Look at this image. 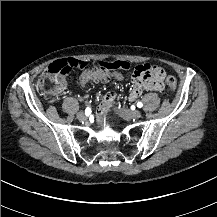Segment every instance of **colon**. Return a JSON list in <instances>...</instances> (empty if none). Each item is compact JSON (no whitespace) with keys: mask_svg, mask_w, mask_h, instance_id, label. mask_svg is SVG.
Wrapping results in <instances>:
<instances>
[{"mask_svg":"<svg viewBox=\"0 0 217 217\" xmlns=\"http://www.w3.org/2000/svg\"><path fill=\"white\" fill-rule=\"evenodd\" d=\"M130 63L126 60H100L95 63L90 62H64L57 61L48 67L39 80L40 92L45 97L59 96L65 88V81L62 74L72 71H80L84 74L91 69H102L107 71L129 70ZM165 71L157 65L140 64L134 68L133 76L135 84H140L148 89H158L162 87V80ZM167 87L170 92H175L177 81L172 75L168 76Z\"/></svg>","mask_w":217,"mask_h":217,"instance_id":"obj_1","label":"colon"}]
</instances>
